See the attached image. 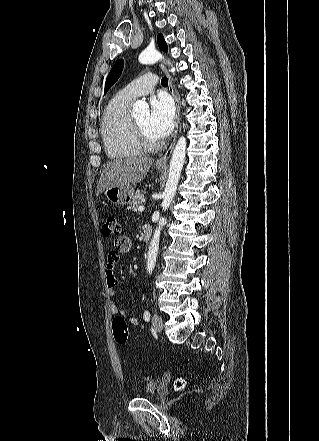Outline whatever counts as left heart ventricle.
<instances>
[{
  "label": "left heart ventricle",
  "instance_id": "1",
  "mask_svg": "<svg viewBox=\"0 0 319 441\" xmlns=\"http://www.w3.org/2000/svg\"><path fill=\"white\" fill-rule=\"evenodd\" d=\"M136 122L138 123V125L141 127V129L144 131V133L147 135V137L151 140H158L156 139L149 128V115L148 114H144L142 116H140L139 118L136 119Z\"/></svg>",
  "mask_w": 319,
  "mask_h": 441
}]
</instances>
